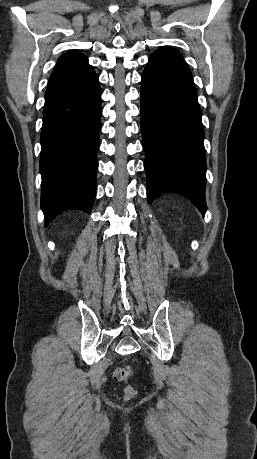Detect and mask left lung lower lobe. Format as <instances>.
Returning a JSON list of instances; mask_svg holds the SVG:
<instances>
[{"instance_id": "obj_1", "label": "left lung lower lobe", "mask_w": 257, "mask_h": 459, "mask_svg": "<svg viewBox=\"0 0 257 459\" xmlns=\"http://www.w3.org/2000/svg\"><path fill=\"white\" fill-rule=\"evenodd\" d=\"M141 132L148 202L176 193L206 212V157L192 74L172 48L155 51L141 80Z\"/></svg>"}]
</instances>
